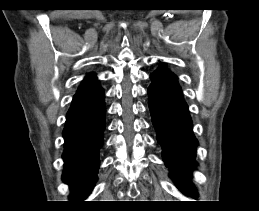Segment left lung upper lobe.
<instances>
[{"mask_svg":"<svg viewBox=\"0 0 259 211\" xmlns=\"http://www.w3.org/2000/svg\"><path fill=\"white\" fill-rule=\"evenodd\" d=\"M152 75H159L164 78H169L173 81H177V76L170 72L164 65L153 72Z\"/></svg>","mask_w":259,"mask_h":211,"instance_id":"obj_1","label":"left lung upper lobe"}]
</instances>
